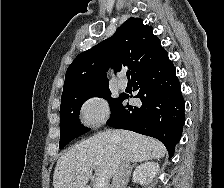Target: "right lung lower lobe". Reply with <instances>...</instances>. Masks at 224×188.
<instances>
[{
	"label": "right lung lower lobe",
	"mask_w": 224,
	"mask_h": 188,
	"mask_svg": "<svg viewBox=\"0 0 224 188\" xmlns=\"http://www.w3.org/2000/svg\"><path fill=\"white\" fill-rule=\"evenodd\" d=\"M132 81L134 90H139L134 97L140 98L142 105L124 106L123 102L129 95L122 94L107 124L157 138L166 146L169 156L173 157L185 123V103L175 67L168 54L134 76Z\"/></svg>",
	"instance_id": "obj_1"
}]
</instances>
